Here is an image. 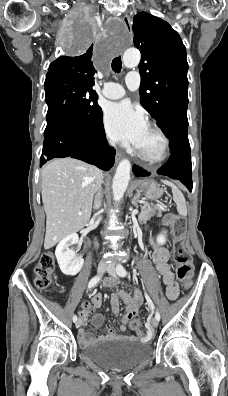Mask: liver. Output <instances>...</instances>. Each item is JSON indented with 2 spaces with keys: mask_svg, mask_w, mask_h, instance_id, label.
Returning <instances> with one entry per match:
<instances>
[{
  "mask_svg": "<svg viewBox=\"0 0 228 396\" xmlns=\"http://www.w3.org/2000/svg\"><path fill=\"white\" fill-rule=\"evenodd\" d=\"M102 178V171L97 167L73 158L55 159L43 168L45 249L88 224L93 197L102 184ZM79 211L83 214L78 215Z\"/></svg>",
  "mask_w": 228,
  "mask_h": 396,
  "instance_id": "1",
  "label": "liver"
}]
</instances>
